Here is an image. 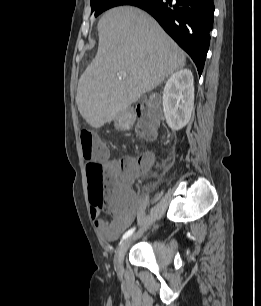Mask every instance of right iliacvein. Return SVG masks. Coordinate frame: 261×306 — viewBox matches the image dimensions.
I'll use <instances>...</instances> for the list:
<instances>
[{
	"label": "right iliac vein",
	"instance_id": "1",
	"mask_svg": "<svg viewBox=\"0 0 261 306\" xmlns=\"http://www.w3.org/2000/svg\"><path fill=\"white\" fill-rule=\"evenodd\" d=\"M139 234L140 232H137L120 243L114 256V267L116 270H120L122 268L125 253Z\"/></svg>",
	"mask_w": 261,
	"mask_h": 306
}]
</instances>
